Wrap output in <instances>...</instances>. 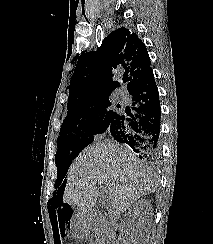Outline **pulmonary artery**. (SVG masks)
<instances>
[{
  "label": "pulmonary artery",
  "mask_w": 213,
  "mask_h": 244,
  "mask_svg": "<svg viewBox=\"0 0 213 244\" xmlns=\"http://www.w3.org/2000/svg\"><path fill=\"white\" fill-rule=\"evenodd\" d=\"M116 98H117V100H119V101H123V100H124V93H123L122 91H118V92L116 93Z\"/></svg>",
  "instance_id": "1"
}]
</instances>
